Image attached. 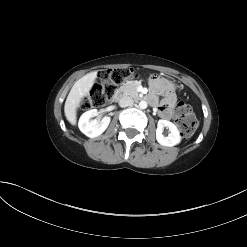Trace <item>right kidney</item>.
<instances>
[{"instance_id":"right-kidney-1","label":"right kidney","mask_w":247,"mask_h":247,"mask_svg":"<svg viewBox=\"0 0 247 247\" xmlns=\"http://www.w3.org/2000/svg\"><path fill=\"white\" fill-rule=\"evenodd\" d=\"M97 109H92L83 113L79 119L78 127L80 131L90 138L98 137L108 127L111 118L105 116L100 122L97 120H90V118L98 116Z\"/></svg>"}]
</instances>
